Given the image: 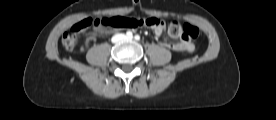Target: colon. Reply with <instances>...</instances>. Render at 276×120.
<instances>
[{
    "label": "colon",
    "instance_id": "obj_1",
    "mask_svg": "<svg viewBox=\"0 0 276 120\" xmlns=\"http://www.w3.org/2000/svg\"><path fill=\"white\" fill-rule=\"evenodd\" d=\"M162 22L161 19L155 17L149 18H131L124 16L104 17V18H87L74 24L69 31L63 34L62 44L67 50H73L80 33L90 27H105L111 29L118 28H135L140 26L157 27ZM169 34L173 37H180L183 41L190 42L199 36L197 27L190 24H180L172 22L168 28Z\"/></svg>",
    "mask_w": 276,
    "mask_h": 120
}]
</instances>
